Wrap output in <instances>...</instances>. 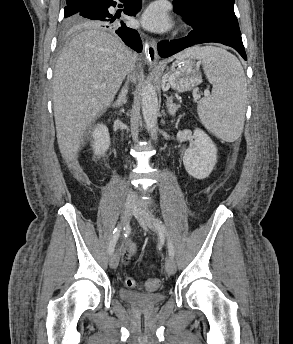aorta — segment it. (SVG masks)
Returning a JSON list of instances; mask_svg holds the SVG:
<instances>
[{"label": "aorta", "mask_w": 293, "mask_h": 344, "mask_svg": "<svg viewBox=\"0 0 293 344\" xmlns=\"http://www.w3.org/2000/svg\"><path fill=\"white\" fill-rule=\"evenodd\" d=\"M142 99V114L148 132L153 141H157V114H158V97L156 89L150 81L142 86L141 89Z\"/></svg>", "instance_id": "obj_1"}]
</instances>
